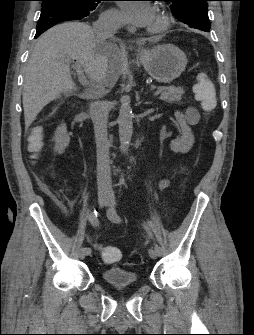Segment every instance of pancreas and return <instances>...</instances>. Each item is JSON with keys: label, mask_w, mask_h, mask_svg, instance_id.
I'll list each match as a JSON object with an SVG mask.
<instances>
[{"label": "pancreas", "mask_w": 254, "mask_h": 335, "mask_svg": "<svg viewBox=\"0 0 254 335\" xmlns=\"http://www.w3.org/2000/svg\"><path fill=\"white\" fill-rule=\"evenodd\" d=\"M161 90L160 100L168 103H177L180 102L184 94L182 87L168 86V87H159Z\"/></svg>", "instance_id": "1"}]
</instances>
